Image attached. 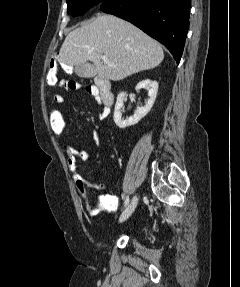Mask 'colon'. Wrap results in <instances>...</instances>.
<instances>
[{
	"label": "colon",
	"instance_id": "obj_1",
	"mask_svg": "<svg viewBox=\"0 0 240 287\" xmlns=\"http://www.w3.org/2000/svg\"><path fill=\"white\" fill-rule=\"evenodd\" d=\"M57 68H58L57 59L52 58L49 62L48 73H47V77H46V82L48 85H50V86L58 85L59 87L67 89V90H77L81 87L80 84H78L77 82L72 81V80H58ZM53 102L55 104H62V103H58V102L54 101V96H53ZM48 119H49V124H50L52 131L56 135H60L66 126L65 116L62 113V111H60L56 107L51 108L49 110V113H48ZM76 184H77V187L79 188V190H80V192L84 198L87 210L92 211L94 206L88 200V198L86 196L84 181L81 178H77Z\"/></svg>",
	"mask_w": 240,
	"mask_h": 287
}]
</instances>
